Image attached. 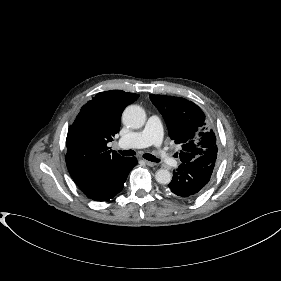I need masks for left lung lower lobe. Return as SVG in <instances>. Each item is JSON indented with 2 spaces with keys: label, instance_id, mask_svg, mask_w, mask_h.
<instances>
[{
  "label": "left lung lower lobe",
  "instance_id": "left-lung-lower-lobe-1",
  "mask_svg": "<svg viewBox=\"0 0 281 281\" xmlns=\"http://www.w3.org/2000/svg\"><path fill=\"white\" fill-rule=\"evenodd\" d=\"M216 159V154L204 155L194 161L182 163L177 170H173L169 190L183 200L196 197L210 181L215 169Z\"/></svg>",
  "mask_w": 281,
  "mask_h": 281
}]
</instances>
